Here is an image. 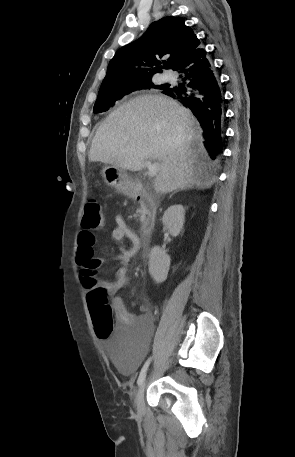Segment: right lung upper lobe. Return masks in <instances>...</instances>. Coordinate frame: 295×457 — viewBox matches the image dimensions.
Wrapping results in <instances>:
<instances>
[{
	"label": "right lung upper lobe",
	"instance_id": "1",
	"mask_svg": "<svg viewBox=\"0 0 295 457\" xmlns=\"http://www.w3.org/2000/svg\"><path fill=\"white\" fill-rule=\"evenodd\" d=\"M193 30L180 17H164L153 22L136 41L120 48L110 60L100 91L138 85L151 80L162 66L159 59L169 55L165 69L176 64L199 46Z\"/></svg>",
	"mask_w": 295,
	"mask_h": 457
}]
</instances>
